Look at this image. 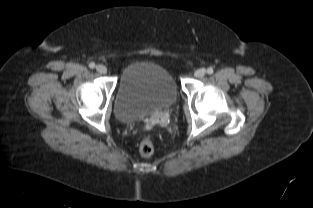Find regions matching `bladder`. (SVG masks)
I'll list each match as a JSON object with an SVG mask.
<instances>
[{
	"mask_svg": "<svg viewBox=\"0 0 313 208\" xmlns=\"http://www.w3.org/2000/svg\"><path fill=\"white\" fill-rule=\"evenodd\" d=\"M178 93L176 80L166 67L155 62H135L119 77L115 115L122 122L145 118L172 105Z\"/></svg>",
	"mask_w": 313,
	"mask_h": 208,
	"instance_id": "bladder-1",
	"label": "bladder"
}]
</instances>
